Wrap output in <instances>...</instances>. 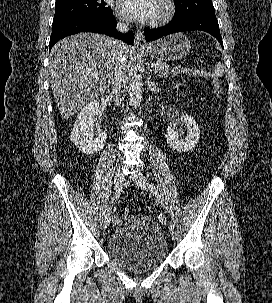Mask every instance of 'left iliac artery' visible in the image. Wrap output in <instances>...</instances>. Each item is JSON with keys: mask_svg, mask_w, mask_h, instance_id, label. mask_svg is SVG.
Returning a JSON list of instances; mask_svg holds the SVG:
<instances>
[{"mask_svg": "<svg viewBox=\"0 0 272 303\" xmlns=\"http://www.w3.org/2000/svg\"><path fill=\"white\" fill-rule=\"evenodd\" d=\"M149 187H150V189H151V192L156 196L157 200H158L160 203H162L161 196H160V194H159L157 188L155 187V185H154L153 183H151V184L149 185ZM168 216H169V215H168ZM166 223H167V225H169L171 228L174 229V224H173L174 222H173V220L169 219V220H167Z\"/></svg>", "mask_w": 272, "mask_h": 303, "instance_id": "44dca946", "label": "left iliac artery"}]
</instances>
